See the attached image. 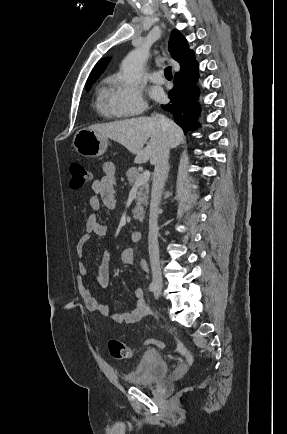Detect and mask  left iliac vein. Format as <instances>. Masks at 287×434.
<instances>
[{
	"instance_id": "1",
	"label": "left iliac vein",
	"mask_w": 287,
	"mask_h": 434,
	"mask_svg": "<svg viewBox=\"0 0 287 434\" xmlns=\"http://www.w3.org/2000/svg\"><path fill=\"white\" fill-rule=\"evenodd\" d=\"M157 297H158V293L156 292V293H155V298H157Z\"/></svg>"
}]
</instances>
